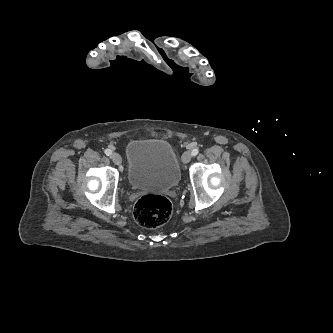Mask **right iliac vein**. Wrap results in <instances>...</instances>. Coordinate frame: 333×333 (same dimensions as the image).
<instances>
[{"instance_id": "right-iliac-vein-1", "label": "right iliac vein", "mask_w": 333, "mask_h": 333, "mask_svg": "<svg viewBox=\"0 0 333 333\" xmlns=\"http://www.w3.org/2000/svg\"><path fill=\"white\" fill-rule=\"evenodd\" d=\"M111 158H112L113 162H114L116 165H121V163H122V158H121V156H120L119 154L114 153V154H112Z\"/></svg>"}]
</instances>
